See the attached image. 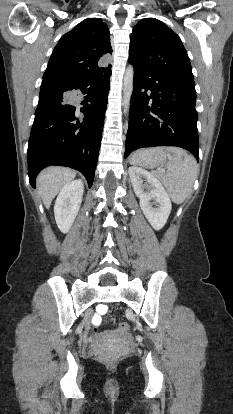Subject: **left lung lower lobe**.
I'll use <instances>...</instances> for the list:
<instances>
[{
    "label": "left lung lower lobe",
    "mask_w": 233,
    "mask_h": 414,
    "mask_svg": "<svg viewBox=\"0 0 233 414\" xmlns=\"http://www.w3.org/2000/svg\"><path fill=\"white\" fill-rule=\"evenodd\" d=\"M132 64L134 88L125 158L143 147L177 146L188 150L198 160L194 81L161 77Z\"/></svg>",
    "instance_id": "1"
}]
</instances>
